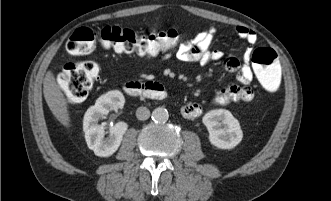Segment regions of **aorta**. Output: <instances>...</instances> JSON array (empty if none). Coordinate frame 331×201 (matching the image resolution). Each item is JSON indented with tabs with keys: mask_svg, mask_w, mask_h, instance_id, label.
<instances>
[{
	"mask_svg": "<svg viewBox=\"0 0 331 201\" xmlns=\"http://www.w3.org/2000/svg\"><path fill=\"white\" fill-rule=\"evenodd\" d=\"M168 118V111L163 107H157L152 112V120L155 122L164 123L168 120Z\"/></svg>",
	"mask_w": 331,
	"mask_h": 201,
	"instance_id": "1",
	"label": "aorta"
}]
</instances>
